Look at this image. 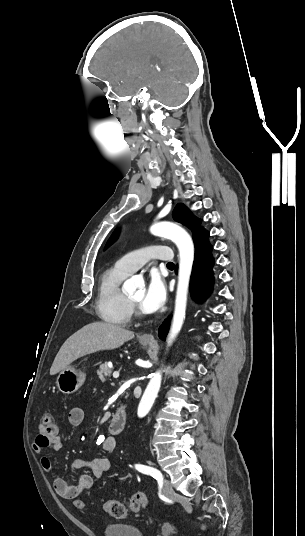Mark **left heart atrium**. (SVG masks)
I'll return each instance as SVG.
<instances>
[{
	"mask_svg": "<svg viewBox=\"0 0 305 536\" xmlns=\"http://www.w3.org/2000/svg\"><path fill=\"white\" fill-rule=\"evenodd\" d=\"M164 299L165 288L163 281L155 272H152L148 278L140 306L144 311L152 313L162 306Z\"/></svg>",
	"mask_w": 305,
	"mask_h": 536,
	"instance_id": "left-heart-atrium-1",
	"label": "left heart atrium"
}]
</instances>
